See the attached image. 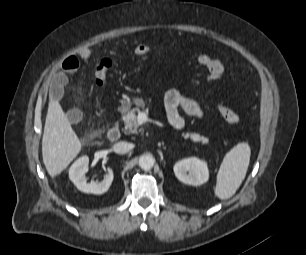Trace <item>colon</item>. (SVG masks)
<instances>
[{
    "label": "colon",
    "mask_w": 306,
    "mask_h": 255,
    "mask_svg": "<svg viewBox=\"0 0 306 255\" xmlns=\"http://www.w3.org/2000/svg\"><path fill=\"white\" fill-rule=\"evenodd\" d=\"M135 54L138 57H145L149 53V47L144 43H139L135 46ZM197 60L200 64L205 66L209 72V79L216 80L220 78L225 72V66L219 59L213 58L207 54L197 55ZM113 67V61L109 58L102 59L95 72L96 82L99 85H104L108 74ZM215 107L219 114L226 120L229 124L239 125L241 122L240 116L234 112L232 109L227 107L221 102H215Z\"/></svg>",
    "instance_id": "5ec220e1"
}]
</instances>
